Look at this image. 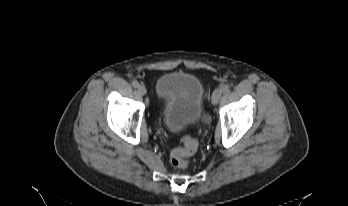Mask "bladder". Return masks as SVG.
Instances as JSON below:
<instances>
[{
	"label": "bladder",
	"instance_id": "31cf9c89",
	"mask_svg": "<svg viewBox=\"0 0 348 206\" xmlns=\"http://www.w3.org/2000/svg\"><path fill=\"white\" fill-rule=\"evenodd\" d=\"M160 117L173 134L204 122V87L198 77L183 72H167L156 81Z\"/></svg>",
	"mask_w": 348,
	"mask_h": 206
}]
</instances>
